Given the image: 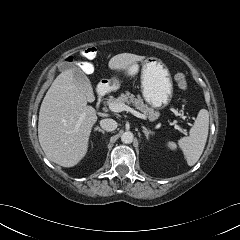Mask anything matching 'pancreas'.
I'll list each match as a JSON object with an SVG mask.
<instances>
[{"label":"pancreas","instance_id":"obj_1","mask_svg":"<svg viewBox=\"0 0 240 240\" xmlns=\"http://www.w3.org/2000/svg\"><path fill=\"white\" fill-rule=\"evenodd\" d=\"M111 103H120V104H128L135 106L139 111H141L150 121H154L159 113L155 111L153 108L149 107L148 105L144 104L143 100L140 96L135 97V95L131 94L130 92L122 93L119 97L114 98L110 97L107 100V104Z\"/></svg>","mask_w":240,"mask_h":240}]
</instances>
